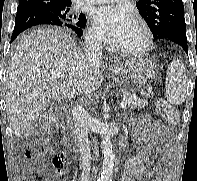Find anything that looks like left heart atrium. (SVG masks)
<instances>
[{"label":"left heart atrium","mask_w":197,"mask_h":181,"mask_svg":"<svg viewBox=\"0 0 197 181\" xmlns=\"http://www.w3.org/2000/svg\"><path fill=\"white\" fill-rule=\"evenodd\" d=\"M92 19L95 26L114 42H118L134 23L127 8L115 5L97 8Z\"/></svg>","instance_id":"left-heart-atrium-1"}]
</instances>
